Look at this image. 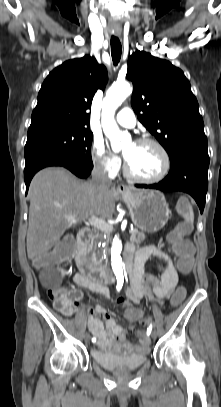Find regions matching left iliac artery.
I'll return each instance as SVG.
<instances>
[{
  "instance_id": "left-iliac-artery-1",
  "label": "left iliac artery",
  "mask_w": 221,
  "mask_h": 407,
  "mask_svg": "<svg viewBox=\"0 0 221 407\" xmlns=\"http://www.w3.org/2000/svg\"><path fill=\"white\" fill-rule=\"evenodd\" d=\"M151 330H152V324L150 325V327H149V329H148V334H150V332H151Z\"/></svg>"
}]
</instances>
